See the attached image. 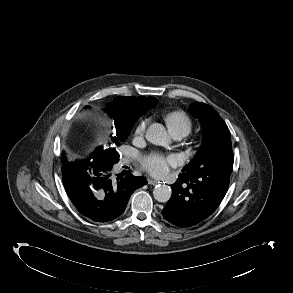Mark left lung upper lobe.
Segmentation results:
<instances>
[{
  "label": "left lung upper lobe",
  "mask_w": 293,
  "mask_h": 293,
  "mask_svg": "<svg viewBox=\"0 0 293 293\" xmlns=\"http://www.w3.org/2000/svg\"><path fill=\"white\" fill-rule=\"evenodd\" d=\"M190 113L198 118L203 126V143L192 161L186 165L182 173L201 171L232 172L234 156L231 134L217 111L201 102H194L189 107Z\"/></svg>",
  "instance_id": "obj_1"
}]
</instances>
